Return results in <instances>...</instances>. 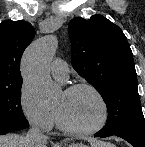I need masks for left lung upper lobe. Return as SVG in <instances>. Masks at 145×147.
<instances>
[{"label":"left lung upper lobe","mask_w":145,"mask_h":147,"mask_svg":"<svg viewBox=\"0 0 145 147\" xmlns=\"http://www.w3.org/2000/svg\"><path fill=\"white\" fill-rule=\"evenodd\" d=\"M72 66L103 97L105 133H145L133 54L117 25L101 15L73 18L68 25Z\"/></svg>","instance_id":"1"}]
</instances>
